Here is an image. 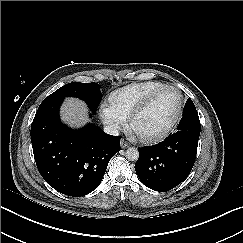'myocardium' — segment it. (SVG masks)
<instances>
[{"label":"myocardium","mask_w":243,"mask_h":243,"mask_svg":"<svg viewBox=\"0 0 243 243\" xmlns=\"http://www.w3.org/2000/svg\"><path fill=\"white\" fill-rule=\"evenodd\" d=\"M168 90H174L178 92L179 94V104H178V109L176 112L175 117L171 121V123L167 126V128L162 131L161 133L157 135H144L138 132V130L135 127V121L136 118L140 115V113L161 93L168 91ZM183 107H184V96L182 91L173 85L165 86L154 93L150 94L147 98H145L142 102H140L130 113L129 118H128V128L130 132H132L134 135H136L142 142L145 143H155L158 141H161L162 139L166 138L172 130L176 127L178 122L181 119L182 113H183Z\"/></svg>","instance_id":"myocardium-1"}]
</instances>
